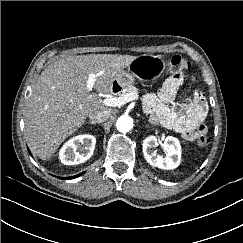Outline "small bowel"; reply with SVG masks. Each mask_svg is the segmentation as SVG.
Masks as SVG:
<instances>
[{
    "instance_id": "c3829d8e",
    "label": "small bowel",
    "mask_w": 243,
    "mask_h": 243,
    "mask_svg": "<svg viewBox=\"0 0 243 243\" xmlns=\"http://www.w3.org/2000/svg\"><path fill=\"white\" fill-rule=\"evenodd\" d=\"M182 82L183 77L168 78L156 94L145 98V108L151 113L154 124L178 133L187 141H193L206 133L203 122L208 112V104L202 93L195 92L186 100L182 111L170 107L169 103L174 100Z\"/></svg>"
}]
</instances>
